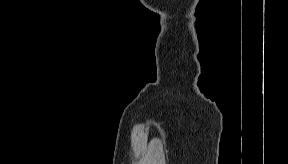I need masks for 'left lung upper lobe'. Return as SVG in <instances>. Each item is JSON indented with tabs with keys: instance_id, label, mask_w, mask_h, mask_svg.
<instances>
[{
	"instance_id": "5c2ea615",
	"label": "left lung upper lobe",
	"mask_w": 288,
	"mask_h": 164,
	"mask_svg": "<svg viewBox=\"0 0 288 164\" xmlns=\"http://www.w3.org/2000/svg\"><path fill=\"white\" fill-rule=\"evenodd\" d=\"M223 80L221 78H218L214 83H213V87H218L220 83H222Z\"/></svg>"
}]
</instances>
